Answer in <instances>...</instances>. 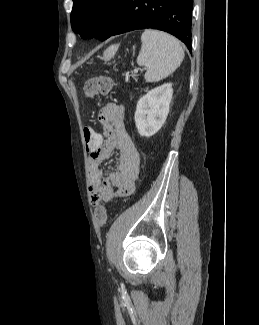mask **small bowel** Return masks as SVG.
<instances>
[{
    "label": "small bowel",
    "mask_w": 259,
    "mask_h": 325,
    "mask_svg": "<svg viewBox=\"0 0 259 325\" xmlns=\"http://www.w3.org/2000/svg\"><path fill=\"white\" fill-rule=\"evenodd\" d=\"M98 119L106 140L104 142L103 136L99 134L101 148L87 149L90 163L89 195L93 204L133 194L140 173V155L128 134L123 105L106 103ZM115 149L119 151L116 171L104 178L100 165Z\"/></svg>",
    "instance_id": "small-bowel-1"
}]
</instances>
